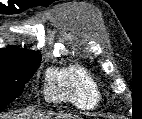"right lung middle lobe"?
Listing matches in <instances>:
<instances>
[{
  "label": "right lung middle lobe",
  "instance_id": "dd1d6c3e",
  "mask_svg": "<svg viewBox=\"0 0 142 119\" xmlns=\"http://www.w3.org/2000/svg\"><path fill=\"white\" fill-rule=\"evenodd\" d=\"M39 63L0 68V110L22 94Z\"/></svg>",
  "mask_w": 142,
  "mask_h": 119
}]
</instances>
